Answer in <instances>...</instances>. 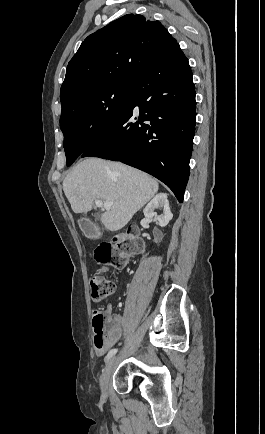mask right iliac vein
<instances>
[{
	"label": "right iliac vein",
	"instance_id": "1",
	"mask_svg": "<svg viewBox=\"0 0 265 434\" xmlns=\"http://www.w3.org/2000/svg\"><path fill=\"white\" fill-rule=\"evenodd\" d=\"M125 354L127 355V353H125ZM119 357H113L108 361V363L106 364V367L104 368L102 375L100 377V387H101L102 395L104 397L107 396V386L109 383V379H110L113 367L116 363V359Z\"/></svg>",
	"mask_w": 265,
	"mask_h": 434
}]
</instances>
